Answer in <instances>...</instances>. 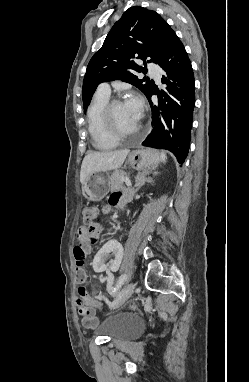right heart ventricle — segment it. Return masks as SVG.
<instances>
[{
    "label": "right heart ventricle",
    "mask_w": 249,
    "mask_h": 382,
    "mask_svg": "<svg viewBox=\"0 0 249 382\" xmlns=\"http://www.w3.org/2000/svg\"><path fill=\"white\" fill-rule=\"evenodd\" d=\"M109 99V94L97 91L88 108V130L92 144L98 150H110L118 144V140L109 136L103 126L102 112Z\"/></svg>",
    "instance_id": "e07e8e85"
}]
</instances>
